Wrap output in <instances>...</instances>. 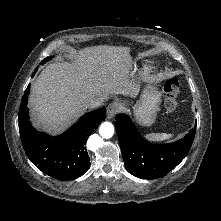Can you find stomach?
<instances>
[{"instance_id": "1", "label": "stomach", "mask_w": 221, "mask_h": 221, "mask_svg": "<svg viewBox=\"0 0 221 221\" xmlns=\"http://www.w3.org/2000/svg\"><path fill=\"white\" fill-rule=\"evenodd\" d=\"M160 104L161 94L157 87L152 83L146 84L139 101L133 107L136 121L142 126L152 125L155 122Z\"/></svg>"}]
</instances>
